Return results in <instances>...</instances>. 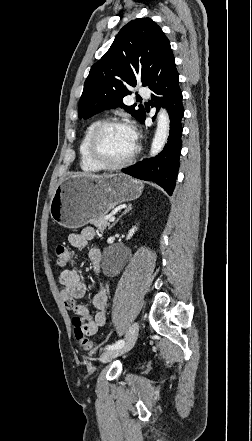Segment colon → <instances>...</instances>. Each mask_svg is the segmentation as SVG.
<instances>
[{
    "label": "colon",
    "instance_id": "obj_1",
    "mask_svg": "<svg viewBox=\"0 0 252 441\" xmlns=\"http://www.w3.org/2000/svg\"><path fill=\"white\" fill-rule=\"evenodd\" d=\"M71 260V253L64 245H58L56 247V264L58 267L66 266ZM74 325V333L77 343L81 350L88 351L92 347L91 340L86 336L83 330V323L78 316H74L72 319Z\"/></svg>",
    "mask_w": 252,
    "mask_h": 441
}]
</instances>
